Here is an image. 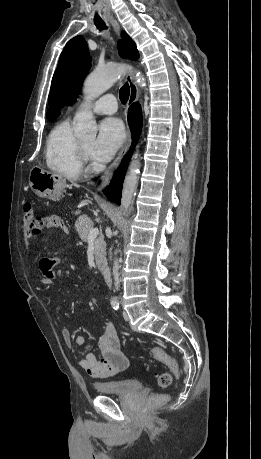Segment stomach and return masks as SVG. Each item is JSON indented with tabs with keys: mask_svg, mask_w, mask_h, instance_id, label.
<instances>
[{
	"mask_svg": "<svg viewBox=\"0 0 261 459\" xmlns=\"http://www.w3.org/2000/svg\"><path fill=\"white\" fill-rule=\"evenodd\" d=\"M31 190L39 197L58 200L65 190V180L58 174L34 167L29 174Z\"/></svg>",
	"mask_w": 261,
	"mask_h": 459,
	"instance_id": "0dacf381",
	"label": "stomach"
}]
</instances>
